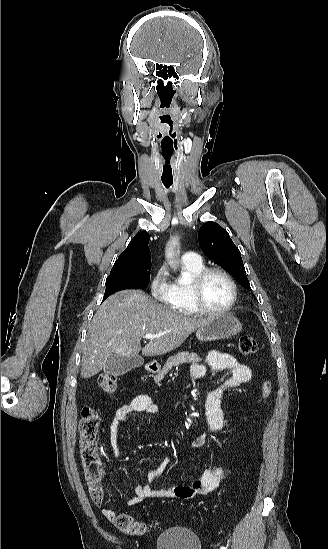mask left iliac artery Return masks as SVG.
<instances>
[{
	"label": "left iliac artery",
	"instance_id": "obj_1",
	"mask_svg": "<svg viewBox=\"0 0 328 549\" xmlns=\"http://www.w3.org/2000/svg\"><path fill=\"white\" fill-rule=\"evenodd\" d=\"M221 549H226L225 547H221Z\"/></svg>",
	"mask_w": 328,
	"mask_h": 549
}]
</instances>
